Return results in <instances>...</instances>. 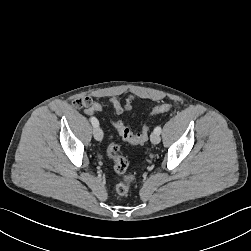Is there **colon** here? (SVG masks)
<instances>
[{
  "label": "colon",
  "instance_id": "obj_1",
  "mask_svg": "<svg viewBox=\"0 0 251 251\" xmlns=\"http://www.w3.org/2000/svg\"><path fill=\"white\" fill-rule=\"evenodd\" d=\"M172 108L170 104H161L154 107L151 111V115H157L168 112ZM86 117H91L97 114H102L109 121L108 124L111 127H115L123 139L133 145H142L147 142L149 138V127L144 125L139 133H132L129 128L124 126L121 122L116 121L117 117L113 114V110L110 107L101 105L98 101H95L93 105L84 110ZM108 157L113 161V168L116 174L122 175L128 168L127 160L119 154V146L111 142L107 149ZM134 180L133 175H124L121 180L115 184V191L119 195H125L128 193L130 186Z\"/></svg>",
  "mask_w": 251,
  "mask_h": 251
}]
</instances>
